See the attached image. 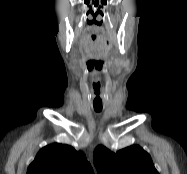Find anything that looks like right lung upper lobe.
Here are the masks:
<instances>
[{
    "mask_svg": "<svg viewBox=\"0 0 187 174\" xmlns=\"http://www.w3.org/2000/svg\"><path fill=\"white\" fill-rule=\"evenodd\" d=\"M27 174H94L81 151L69 145L52 144L42 148L29 165Z\"/></svg>",
    "mask_w": 187,
    "mask_h": 174,
    "instance_id": "1",
    "label": "right lung upper lobe"
}]
</instances>
